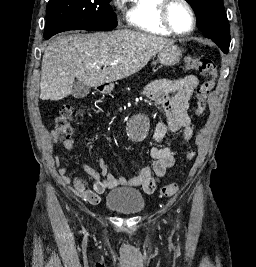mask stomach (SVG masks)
Instances as JSON below:
<instances>
[{"mask_svg": "<svg viewBox=\"0 0 256 267\" xmlns=\"http://www.w3.org/2000/svg\"><path fill=\"white\" fill-rule=\"evenodd\" d=\"M182 58V52L176 44H166L158 54V60L163 66H174Z\"/></svg>", "mask_w": 256, "mask_h": 267, "instance_id": "obj_1", "label": "stomach"}]
</instances>
